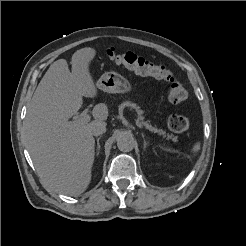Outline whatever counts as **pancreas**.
<instances>
[{
  "mask_svg": "<svg viewBox=\"0 0 246 246\" xmlns=\"http://www.w3.org/2000/svg\"><path fill=\"white\" fill-rule=\"evenodd\" d=\"M120 107H121V108H123V107H131V108L135 109L136 112H137V114H138V119L141 120V121L144 120V117L142 116L143 110H141L140 107H139L138 105H136L135 103L130 102V101H125V102H123V103L120 105ZM142 124H143L145 127H146L147 125H149V126L151 127L149 130H151V131H153V132H155V133H158L159 135L165 136V137H167L168 139L173 138L172 135H167V136H166V132H165V131H162V130H160V129H157V128H155V127H152V126H151L149 123H147V122H142Z\"/></svg>",
  "mask_w": 246,
  "mask_h": 246,
  "instance_id": "pancreas-1",
  "label": "pancreas"
}]
</instances>
